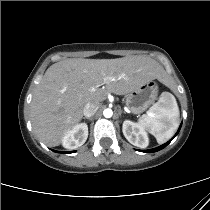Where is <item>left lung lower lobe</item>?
I'll use <instances>...</instances> for the list:
<instances>
[{"instance_id":"0a47b994","label":"left lung lower lobe","mask_w":210,"mask_h":210,"mask_svg":"<svg viewBox=\"0 0 210 210\" xmlns=\"http://www.w3.org/2000/svg\"><path fill=\"white\" fill-rule=\"evenodd\" d=\"M181 127V126H180ZM179 130H180V128H179ZM179 130H178V132H179ZM178 132L175 134V136L178 134ZM174 136V137H175ZM173 137V138H174ZM172 138V139H173ZM171 139V140H172ZM171 140L170 141H168L167 143H165V144H163V145H161V146H159V147H157V148H154V149H150V150H144L143 152H147V153H151V152H157V151H159V150H161V149H163L164 147H166L170 142H171Z\"/></svg>"}]
</instances>
